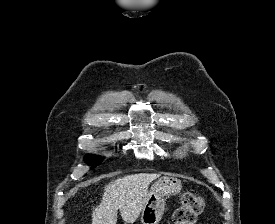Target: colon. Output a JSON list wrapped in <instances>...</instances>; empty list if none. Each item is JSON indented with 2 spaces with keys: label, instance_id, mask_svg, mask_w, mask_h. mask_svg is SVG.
<instances>
[{
  "label": "colon",
  "instance_id": "5ec220e1",
  "mask_svg": "<svg viewBox=\"0 0 275 224\" xmlns=\"http://www.w3.org/2000/svg\"><path fill=\"white\" fill-rule=\"evenodd\" d=\"M204 200L195 194L185 193L181 197V205L172 215L173 224H194L197 216L204 210Z\"/></svg>",
  "mask_w": 275,
  "mask_h": 224
}]
</instances>
